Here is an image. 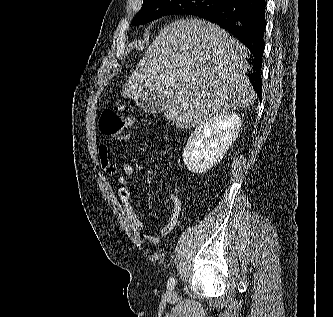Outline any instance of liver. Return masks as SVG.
<instances>
[{
	"label": "liver",
	"mask_w": 333,
	"mask_h": 317,
	"mask_svg": "<svg viewBox=\"0 0 333 317\" xmlns=\"http://www.w3.org/2000/svg\"><path fill=\"white\" fill-rule=\"evenodd\" d=\"M247 52L242 43L210 22L174 21L159 31L122 95L164 96L166 119L182 129L201 125L254 102L246 76Z\"/></svg>",
	"instance_id": "liver-1"
}]
</instances>
